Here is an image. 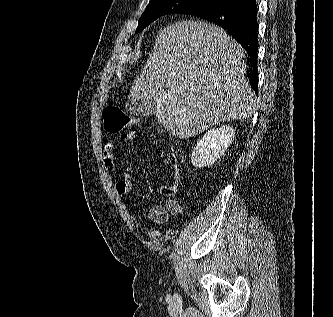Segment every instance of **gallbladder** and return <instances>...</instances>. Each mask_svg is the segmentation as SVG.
<instances>
[{"mask_svg":"<svg viewBox=\"0 0 333 317\" xmlns=\"http://www.w3.org/2000/svg\"><path fill=\"white\" fill-rule=\"evenodd\" d=\"M126 108L130 114L135 116L152 115L156 109V102L153 99H129Z\"/></svg>","mask_w":333,"mask_h":317,"instance_id":"bac80fb5","label":"gallbladder"}]
</instances>
